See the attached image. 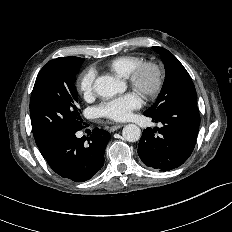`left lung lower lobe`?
Here are the masks:
<instances>
[{"label":"left lung lower lobe","mask_w":232,"mask_h":232,"mask_svg":"<svg viewBox=\"0 0 232 232\" xmlns=\"http://www.w3.org/2000/svg\"><path fill=\"white\" fill-rule=\"evenodd\" d=\"M144 115L163 127L144 129L138 145L143 163L163 172L181 166L195 147L200 125L197 106L180 102L161 113Z\"/></svg>","instance_id":"1"}]
</instances>
